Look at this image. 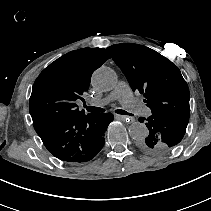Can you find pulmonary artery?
I'll list each match as a JSON object with an SVG mask.
<instances>
[{"label":"pulmonary artery","mask_w":211,"mask_h":211,"mask_svg":"<svg viewBox=\"0 0 211 211\" xmlns=\"http://www.w3.org/2000/svg\"><path fill=\"white\" fill-rule=\"evenodd\" d=\"M118 99L126 110L133 111L135 116L145 119L149 117L151 110L149 106L142 102H138L134 97L133 92L130 91V86L127 83H119L115 90L107 97L94 99L90 102L91 106L102 107L113 100Z\"/></svg>","instance_id":"obj_1"}]
</instances>
